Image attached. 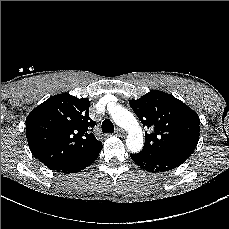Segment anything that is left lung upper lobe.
Returning a JSON list of instances; mask_svg holds the SVG:
<instances>
[{"label":"left lung upper lobe","mask_w":229,"mask_h":229,"mask_svg":"<svg viewBox=\"0 0 229 229\" xmlns=\"http://www.w3.org/2000/svg\"><path fill=\"white\" fill-rule=\"evenodd\" d=\"M144 126L145 143L139 154L187 159L199 141L200 119L196 112L173 95L152 90L129 101Z\"/></svg>","instance_id":"obj_1"}]
</instances>
